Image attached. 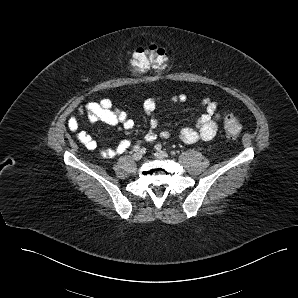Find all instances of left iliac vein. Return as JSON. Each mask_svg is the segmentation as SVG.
<instances>
[{
    "instance_id": "4c4485c4",
    "label": "left iliac vein",
    "mask_w": 298,
    "mask_h": 298,
    "mask_svg": "<svg viewBox=\"0 0 298 298\" xmlns=\"http://www.w3.org/2000/svg\"><path fill=\"white\" fill-rule=\"evenodd\" d=\"M154 156L158 159H166L168 157V154L164 151H157L154 153Z\"/></svg>"
}]
</instances>
